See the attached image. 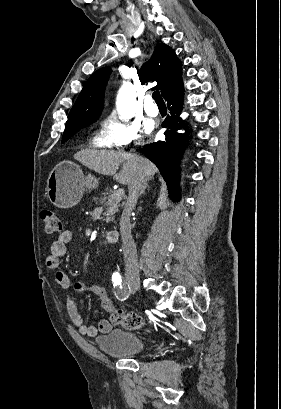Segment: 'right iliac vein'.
<instances>
[{
    "label": "right iliac vein",
    "instance_id": "right-iliac-vein-1",
    "mask_svg": "<svg viewBox=\"0 0 281 409\" xmlns=\"http://www.w3.org/2000/svg\"><path fill=\"white\" fill-rule=\"evenodd\" d=\"M130 289H132V291H139L140 290V285L137 282H131L130 283Z\"/></svg>",
    "mask_w": 281,
    "mask_h": 409
}]
</instances>
